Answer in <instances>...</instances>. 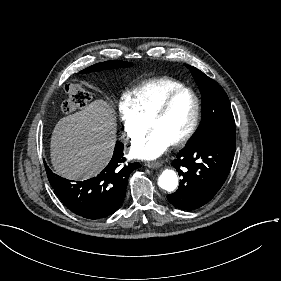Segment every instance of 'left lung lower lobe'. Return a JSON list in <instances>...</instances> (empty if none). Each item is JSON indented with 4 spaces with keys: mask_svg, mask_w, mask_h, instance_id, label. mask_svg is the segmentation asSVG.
Instances as JSON below:
<instances>
[{
    "mask_svg": "<svg viewBox=\"0 0 281 281\" xmlns=\"http://www.w3.org/2000/svg\"><path fill=\"white\" fill-rule=\"evenodd\" d=\"M235 154V142L204 137L189 142L173 166L179 175L178 190L168 201L182 210H194L208 203L225 182Z\"/></svg>",
    "mask_w": 281,
    "mask_h": 281,
    "instance_id": "1",
    "label": "left lung lower lobe"
}]
</instances>
